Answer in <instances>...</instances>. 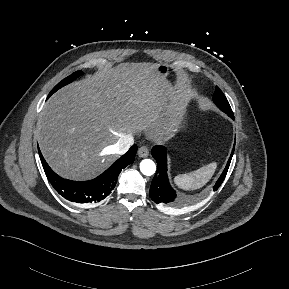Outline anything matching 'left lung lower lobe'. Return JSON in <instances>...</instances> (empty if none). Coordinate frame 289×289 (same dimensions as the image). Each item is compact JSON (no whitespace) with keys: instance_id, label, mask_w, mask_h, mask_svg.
I'll use <instances>...</instances> for the list:
<instances>
[{"instance_id":"1","label":"left lung lower lobe","mask_w":289,"mask_h":289,"mask_svg":"<svg viewBox=\"0 0 289 289\" xmlns=\"http://www.w3.org/2000/svg\"><path fill=\"white\" fill-rule=\"evenodd\" d=\"M225 113H227L229 117L234 119L233 112L231 110ZM234 149L235 144L224 171L222 172L221 176L219 177L215 186L213 187L214 191L221 186L227 174ZM151 153L152 156L157 161L158 168L151 183L150 197L155 203L160 204L162 206L176 207L179 205V199L177 198L175 190H173L172 187L170 186L168 180L165 149L162 146L157 145L152 148Z\"/></svg>"}]
</instances>
